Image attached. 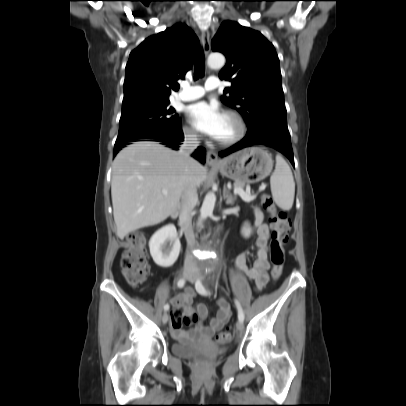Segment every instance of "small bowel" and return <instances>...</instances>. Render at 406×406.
Wrapping results in <instances>:
<instances>
[{
	"label": "small bowel",
	"instance_id": "c3829d8e",
	"mask_svg": "<svg viewBox=\"0 0 406 406\" xmlns=\"http://www.w3.org/2000/svg\"><path fill=\"white\" fill-rule=\"evenodd\" d=\"M255 227L253 232L256 233V245L258 247L256 251V258L254 264L249 266L247 264L250 254L244 252L238 254L235 257V266L246 277L255 282V289L257 291L262 290L268 282V270L269 262L267 258V244L270 235V229L264 222V215L260 208L254 209ZM195 292L193 289H188L182 294H178L171 299V303L178 310H183L186 314L198 315L201 319L207 317V308L202 303L194 304ZM217 314L209 321V326L205 328L202 323H199L187 333L184 332L181 327H174L171 323L172 334L184 340L188 337L200 336L204 339H209L214 336L230 319L231 308L225 298H219L217 300Z\"/></svg>",
	"mask_w": 406,
	"mask_h": 406
}]
</instances>
